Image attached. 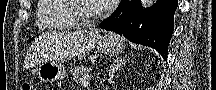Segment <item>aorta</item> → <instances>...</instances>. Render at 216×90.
<instances>
[{"mask_svg": "<svg viewBox=\"0 0 216 90\" xmlns=\"http://www.w3.org/2000/svg\"><path fill=\"white\" fill-rule=\"evenodd\" d=\"M155 0H141L142 8H151L153 6Z\"/></svg>", "mask_w": 216, "mask_h": 90, "instance_id": "obj_1", "label": "aorta"}]
</instances>
